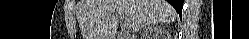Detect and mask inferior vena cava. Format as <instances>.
<instances>
[{"label": "inferior vena cava", "instance_id": "inferior-vena-cava-1", "mask_svg": "<svg viewBox=\"0 0 249 39\" xmlns=\"http://www.w3.org/2000/svg\"><path fill=\"white\" fill-rule=\"evenodd\" d=\"M139 30V24L135 26V31Z\"/></svg>", "mask_w": 249, "mask_h": 39}]
</instances>
